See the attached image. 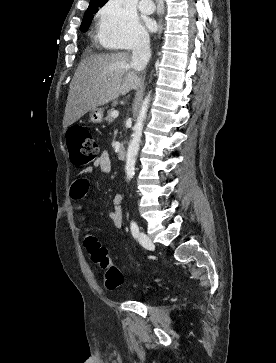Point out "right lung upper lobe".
I'll list each match as a JSON object with an SVG mask.
<instances>
[{"label": "right lung upper lobe", "mask_w": 276, "mask_h": 363, "mask_svg": "<svg viewBox=\"0 0 276 363\" xmlns=\"http://www.w3.org/2000/svg\"><path fill=\"white\" fill-rule=\"evenodd\" d=\"M107 0H91L90 1V5H95V4H99L100 6L103 5Z\"/></svg>", "instance_id": "obj_1"}]
</instances>
